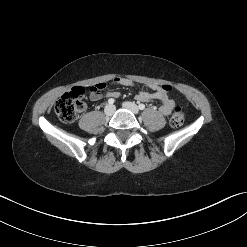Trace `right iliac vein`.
<instances>
[{"mask_svg": "<svg viewBox=\"0 0 247 247\" xmlns=\"http://www.w3.org/2000/svg\"><path fill=\"white\" fill-rule=\"evenodd\" d=\"M115 112V107L113 105H107L104 109L106 116H112Z\"/></svg>", "mask_w": 247, "mask_h": 247, "instance_id": "63e3f726", "label": "right iliac vein"}]
</instances>
